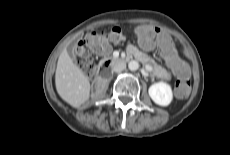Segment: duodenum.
Masks as SVG:
<instances>
[{
    "mask_svg": "<svg viewBox=\"0 0 230 155\" xmlns=\"http://www.w3.org/2000/svg\"><path fill=\"white\" fill-rule=\"evenodd\" d=\"M122 60L123 59L119 58V57H111V58L106 59L102 65L101 69H100L101 75L107 73L111 66H113L114 64H116ZM102 81H103L102 79H99L97 82L99 83Z\"/></svg>",
    "mask_w": 230,
    "mask_h": 155,
    "instance_id": "obj_1",
    "label": "duodenum"
}]
</instances>
